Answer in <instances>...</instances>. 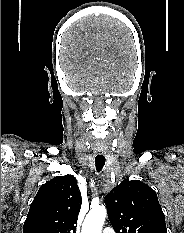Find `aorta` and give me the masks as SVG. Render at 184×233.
<instances>
[{"instance_id":"762f6f07","label":"aorta","mask_w":184,"mask_h":233,"mask_svg":"<svg viewBox=\"0 0 184 233\" xmlns=\"http://www.w3.org/2000/svg\"><path fill=\"white\" fill-rule=\"evenodd\" d=\"M106 215L104 206L91 209L83 222L81 233H101Z\"/></svg>"}]
</instances>
